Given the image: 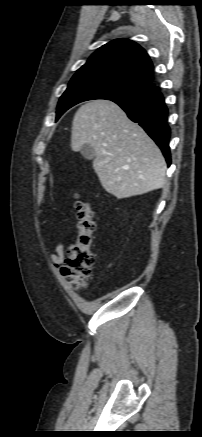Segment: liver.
I'll list each match as a JSON object with an SVG mask.
<instances>
[{
	"instance_id": "6515ba94",
	"label": "liver",
	"mask_w": 202,
	"mask_h": 437,
	"mask_svg": "<svg viewBox=\"0 0 202 437\" xmlns=\"http://www.w3.org/2000/svg\"><path fill=\"white\" fill-rule=\"evenodd\" d=\"M89 144L103 188L118 199L142 195L165 184L166 162L146 132L109 100H93L74 115L71 149Z\"/></svg>"
}]
</instances>
